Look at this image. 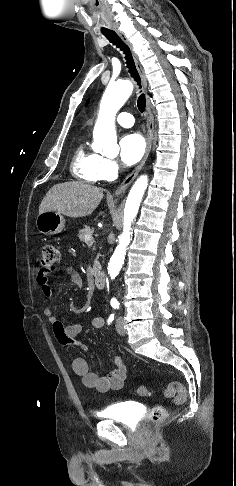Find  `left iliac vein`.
<instances>
[{
  "instance_id": "obj_1",
  "label": "left iliac vein",
  "mask_w": 236,
  "mask_h": 486,
  "mask_svg": "<svg viewBox=\"0 0 236 486\" xmlns=\"http://www.w3.org/2000/svg\"><path fill=\"white\" fill-rule=\"evenodd\" d=\"M116 330L120 335H125V333H126L122 317H119L116 321Z\"/></svg>"
}]
</instances>
